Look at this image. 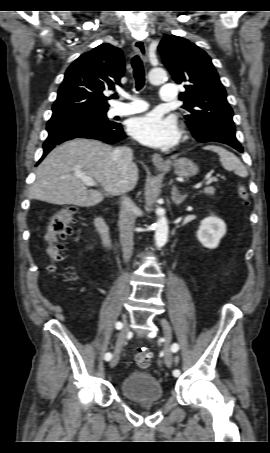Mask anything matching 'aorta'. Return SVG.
<instances>
[{
    "instance_id": "aorta-1",
    "label": "aorta",
    "mask_w": 270,
    "mask_h": 453,
    "mask_svg": "<svg viewBox=\"0 0 270 453\" xmlns=\"http://www.w3.org/2000/svg\"><path fill=\"white\" fill-rule=\"evenodd\" d=\"M166 76V71L163 68H153L149 72V81L152 84H160L165 80ZM156 214L158 215V220L155 224V244L157 247H162L168 239V221L163 208H157Z\"/></svg>"
}]
</instances>
